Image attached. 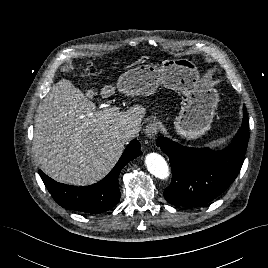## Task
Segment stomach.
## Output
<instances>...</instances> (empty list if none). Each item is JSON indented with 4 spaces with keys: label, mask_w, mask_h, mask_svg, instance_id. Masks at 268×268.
<instances>
[{
    "label": "stomach",
    "mask_w": 268,
    "mask_h": 268,
    "mask_svg": "<svg viewBox=\"0 0 268 268\" xmlns=\"http://www.w3.org/2000/svg\"><path fill=\"white\" fill-rule=\"evenodd\" d=\"M159 85L185 96L174 121L175 129L186 139H197L211 127L219 95L200 78L197 66L186 58L166 59L160 67L142 64L123 73L117 89L126 96H148Z\"/></svg>",
    "instance_id": "stomach-1"
}]
</instances>
